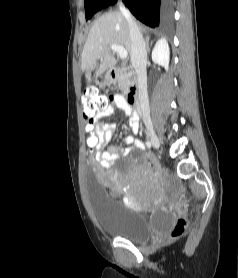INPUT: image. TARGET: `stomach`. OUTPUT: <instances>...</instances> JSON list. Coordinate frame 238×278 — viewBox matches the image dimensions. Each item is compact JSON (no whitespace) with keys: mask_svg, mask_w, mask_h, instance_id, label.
Here are the masks:
<instances>
[{"mask_svg":"<svg viewBox=\"0 0 238 278\" xmlns=\"http://www.w3.org/2000/svg\"><path fill=\"white\" fill-rule=\"evenodd\" d=\"M116 79H114L112 76H111V73L108 72L106 73L105 77H104V83L106 85H109V84H112V83H115Z\"/></svg>","mask_w":238,"mask_h":278,"instance_id":"stomach-1","label":"stomach"}]
</instances>
